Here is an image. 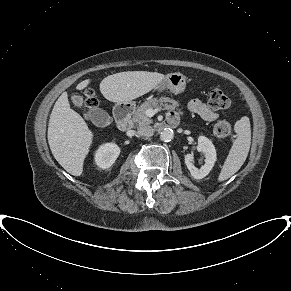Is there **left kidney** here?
<instances>
[{
  "instance_id": "obj_1",
  "label": "left kidney",
  "mask_w": 291,
  "mask_h": 291,
  "mask_svg": "<svg viewBox=\"0 0 291 291\" xmlns=\"http://www.w3.org/2000/svg\"><path fill=\"white\" fill-rule=\"evenodd\" d=\"M197 150L204 154L205 163L200 168H196L193 163V154H187L185 164L193 178L202 179L209 174L215 164L216 150L213 143L205 136L198 137Z\"/></svg>"
}]
</instances>
